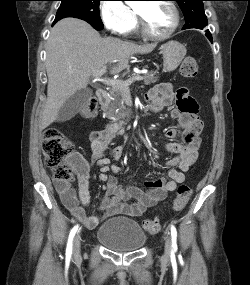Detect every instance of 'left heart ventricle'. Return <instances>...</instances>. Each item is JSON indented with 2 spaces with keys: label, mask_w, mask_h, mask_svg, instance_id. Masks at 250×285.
Instances as JSON below:
<instances>
[{
  "label": "left heart ventricle",
  "mask_w": 250,
  "mask_h": 285,
  "mask_svg": "<svg viewBox=\"0 0 250 285\" xmlns=\"http://www.w3.org/2000/svg\"><path fill=\"white\" fill-rule=\"evenodd\" d=\"M136 10L142 14L147 28L155 35L166 34L174 23L173 12L165 3L141 2L137 4Z\"/></svg>",
  "instance_id": "b2bd125f"
}]
</instances>
